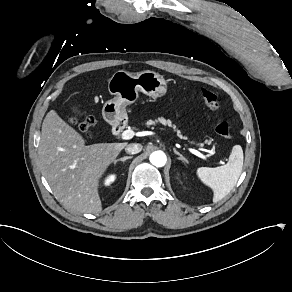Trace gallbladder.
<instances>
[{"mask_svg":"<svg viewBox=\"0 0 292 292\" xmlns=\"http://www.w3.org/2000/svg\"><path fill=\"white\" fill-rule=\"evenodd\" d=\"M69 110L70 112L73 114V115H76V116H80L81 115V110H80V107L73 103L69 106Z\"/></svg>","mask_w":292,"mask_h":292,"instance_id":"obj_1","label":"gallbladder"}]
</instances>
